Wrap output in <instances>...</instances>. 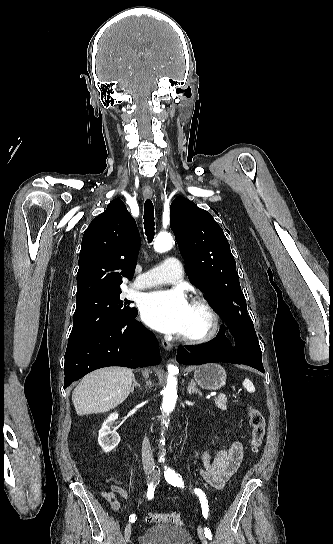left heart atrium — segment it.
Wrapping results in <instances>:
<instances>
[{
	"instance_id": "left-heart-atrium-1",
	"label": "left heart atrium",
	"mask_w": 333,
	"mask_h": 544,
	"mask_svg": "<svg viewBox=\"0 0 333 544\" xmlns=\"http://www.w3.org/2000/svg\"><path fill=\"white\" fill-rule=\"evenodd\" d=\"M189 312L190 304L179 289L151 292L141 302L143 321L163 333H182Z\"/></svg>"
}]
</instances>
